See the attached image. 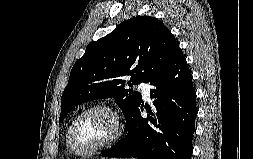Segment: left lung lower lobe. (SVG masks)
Here are the masks:
<instances>
[{"label":"left lung lower lobe","instance_id":"1","mask_svg":"<svg viewBox=\"0 0 253 159\" xmlns=\"http://www.w3.org/2000/svg\"><path fill=\"white\" fill-rule=\"evenodd\" d=\"M155 109H147V118L137 106L126 120V137L105 157L140 159H191L195 132L196 92L186 59L179 50L170 62L149 80Z\"/></svg>","mask_w":253,"mask_h":159}]
</instances>
